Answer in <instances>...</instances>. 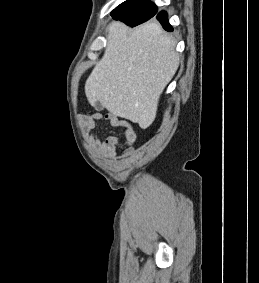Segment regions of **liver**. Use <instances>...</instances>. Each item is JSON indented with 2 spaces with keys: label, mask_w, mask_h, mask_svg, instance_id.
Wrapping results in <instances>:
<instances>
[{
  "label": "liver",
  "mask_w": 259,
  "mask_h": 283,
  "mask_svg": "<svg viewBox=\"0 0 259 283\" xmlns=\"http://www.w3.org/2000/svg\"><path fill=\"white\" fill-rule=\"evenodd\" d=\"M107 40L102 59L85 83L86 97L92 106L99 101L111 114L146 129L178 69L175 41L152 21L134 30L114 21Z\"/></svg>",
  "instance_id": "6515ba94"
}]
</instances>
